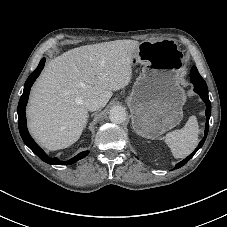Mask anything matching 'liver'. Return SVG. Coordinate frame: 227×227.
<instances>
[{"label":"liver","instance_id":"1","mask_svg":"<svg viewBox=\"0 0 227 227\" xmlns=\"http://www.w3.org/2000/svg\"><path fill=\"white\" fill-rule=\"evenodd\" d=\"M139 45L128 39L85 45L51 60L34 84L26 110L33 138L48 150L74 144L87 122L85 102L98 97L105 106L113 91L130 83Z\"/></svg>","mask_w":227,"mask_h":227}]
</instances>
